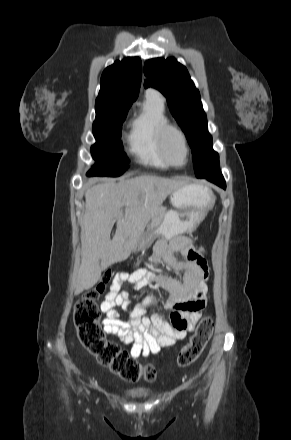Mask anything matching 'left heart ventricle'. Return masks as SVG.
<instances>
[{
	"label": "left heart ventricle",
	"mask_w": 291,
	"mask_h": 440,
	"mask_svg": "<svg viewBox=\"0 0 291 440\" xmlns=\"http://www.w3.org/2000/svg\"><path fill=\"white\" fill-rule=\"evenodd\" d=\"M167 152L173 162L182 164L185 161L183 144L175 133L169 134L167 138Z\"/></svg>",
	"instance_id": "b2bd125f"
}]
</instances>
